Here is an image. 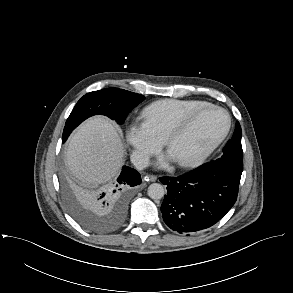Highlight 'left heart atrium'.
I'll use <instances>...</instances> for the list:
<instances>
[{
    "label": "left heart atrium",
    "instance_id": "obj_1",
    "mask_svg": "<svg viewBox=\"0 0 293 293\" xmlns=\"http://www.w3.org/2000/svg\"><path fill=\"white\" fill-rule=\"evenodd\" d=\"M173 158L168 154H164L159 157L157 165L160 167H165Z\"/></svg>",
    "mask_w": 293,
    "mask_h": 293
}]
</instances>
